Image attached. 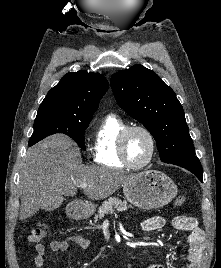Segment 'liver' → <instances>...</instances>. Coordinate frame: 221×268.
Here are the masks:
<instances>
[{
    "label": "liver",
    "mask_w": 221,
    "mask_h": 268,
    "mask_svg": "<svg viewBox=\"0 0 221 268\" xmlns=\"http://www.w3.org/2000/svg\"><path fill=\"white\" fill-rule=\"evenodd\" d=\"M133 177L125 171L85 166L74 142L65 135H52L27 150L19 178L21 221L74 196L81 183L83 193L101 200L115 193Z\"/></svg>",
    "instance_id": "1"
}]
</instances>
